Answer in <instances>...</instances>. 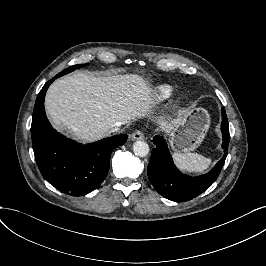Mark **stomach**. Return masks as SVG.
<instances>
[{
    "mask_svg": "<svg viewBox=\"0 0 266 266\" xmlns=\"http://www.w3.org/2000/svg\"><path fill=\"white\" fill-rule=\"evenodd\" d=\"M210 127V114L205 108L190 109L169 135L174 151L188 153L198 148Z\"/></svg>",
    "mask_w": 266,
    "mask_h": 266,
    "instance_id": "obj_1",
    "label": "stomach"
}]
</instances>
